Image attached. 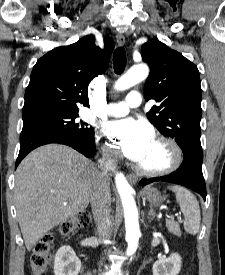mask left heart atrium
I'll return each mask as SVG.
<instances>
[{"mask_svg":"<svg viewBox=\"0 0 225 275\" xmlns=\"http://www.w3.org/2000/svg\"><path fill=\"white\" fill-rule=\"evenodd\" d=\"M105 134L128 159L139 162L154 140L151 127L142 120L123 118L110 121Z\"/></svg>","mask_w":225,"mask_h":275,"instance_id":"39dd6f15","label":"left heart atrium"}]
</instances>
